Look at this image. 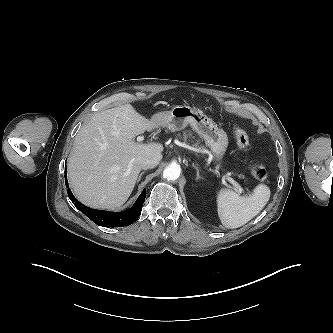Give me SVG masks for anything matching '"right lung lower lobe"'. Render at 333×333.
I'll return each mask as SVG.
<instances>
[{"label":"right lung lower lobe","instance_id":"obj_1","mask_svg":"<svg viewBox=\"0 0 333 333\" xmlns=\"http://www.w3.org/2000/svg\"><path fill=\"white\" fill-rule=\"evenodd\" d=\"M66 187L68 188L67 193L70 200L79 209L84 213L88 218H90L95 224L103 227H121L128 226L134 223L140 216L142 206L146 197V190L144 189L134 205L127 211L115 213L108 211L95 210L89 207H86L80 203L72 194L68 186L67 177L65 174Z\"/></svg>","mask_w":333,"mask_h":333}]
</instances>
